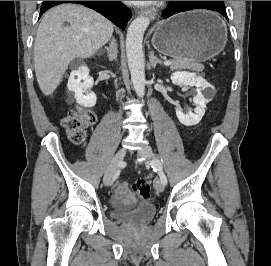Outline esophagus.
I'll return each mask as SVG.
<instances>
[{"label": "esophagus", "instance_id": "1", "mask_svg": "<svg viewBox=\"0 0 271 266\" xmlns=\"http://www.w3.org/2000/svg\"><path fill=\"white\" fill-rule=\"evenodd\" d=\"M139 16H148L150 19H155L157 15V10L156 9H145V10H140L137 12Z\"/></svg>", "mask_w": 271, "mask_h": 266}]
</instances>
